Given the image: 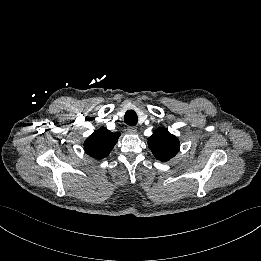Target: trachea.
I'll use <instances>...</instances> for the list:
<instances>
[{"label": "trachea", "instance_id": "3493384b", "mask_svg": "<svg viewBox=\"0 0 261 261\" xmlns=\"http://www.w3.org/2000/svg\"><path fill=\"white\" fill-rule=\"evenodd\" d=\"M124 122L129 126H135L138 122V116L135 111L129 110L124 115Z\"/></svg>", "mask_w": 261, "mask_h": 261}]
</instances>
